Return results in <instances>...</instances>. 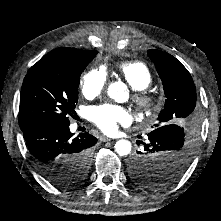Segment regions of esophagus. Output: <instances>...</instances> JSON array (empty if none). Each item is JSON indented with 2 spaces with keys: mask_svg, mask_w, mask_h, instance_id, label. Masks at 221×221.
I'll return each mask as SVG.
<instances>
[{
  "mask_svg": "<svg viewBox=\"0 0 221 221\" xmlns=\"http://www.w3.org/2000/svg\"><path fill=\"white\" fill-rule=\"evenodd\" d=\"M111 140H112L111 138L106 137V136H101V137H100V141H101V142H108V141H111Z\"/></svg>",
  "mask_w": 221,
  "mask_h": 221,
  "instance_id": "obj_1",
  "label": "esophagus"
}]
</instances>
